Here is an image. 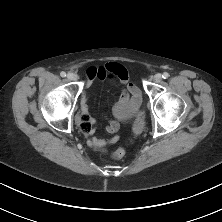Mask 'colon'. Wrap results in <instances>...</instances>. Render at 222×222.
<instances>
[{"label":"colon","instance_id":"colon-1","mask_svg":"<svg viewBox=\"0 0 222 222\" xmlns=\"http://www.w3.org/2000/svg\"><path fill=\"white\" fill-rule=\"evenodd\" d=\"M79 126L82 130L89 128L91 126L90 115L81 116L79 118ZM142 128H143V114L140 112L138 113L135 124H134V128H133L134 134L138 135L141 132ZM124 155H125V150L121 147L115 149L111 153L112 158L117 159V160L122 159Z\"/></svg>","mask_w":222,"mask_h":222}]
</instances>
